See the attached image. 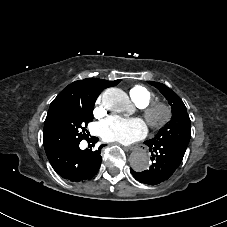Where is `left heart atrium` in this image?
I'll use <instances>...</instances> for the list:
<instances>
[{"label": "left heart atrium", "instance_id": "1", "mask_svg": "<svg viewBox=\"0 0 227 227\" xmlns=\"http://www.w3.org/2000/svg\"><path fill=\"white\" fill-rule=\"evenodd\" d=\"M98 132L105 141L131 144L142 140L147 135L148 128L140 118L110 116L98 125Z\"/></svg>", "mask_w": 227, "mask_h": 227}]
</instances>
